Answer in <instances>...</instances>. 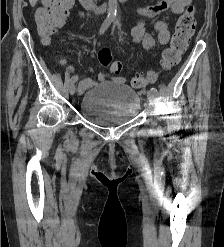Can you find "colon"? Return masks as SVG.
I'll list each match as a JSON object with an SVG mask.
<instances>
[{"label":"colon","mask_w":224,"mask_h":247,"mask_svg":"<svg viewBox=\"0 0 224 247\" xmlns=\"http://www.w3.org/2000/svg\"><path fill=\"white\" fill-rule=\"evenodd\" d=\"M43 3V7L38 8L35 12V21L39 34L48 38L63 25L74 0H43ZM194 15L195 6L190 5L179 17L170 45L162 54L161 65L163 68L169 69L176 65L188 48L196 27ZM98 60L103 67L109 68L112 75H120L122 64L113 60L110 49H100ZM147 82V76L137 75L133 78L132 85L139 88L146 85Z\"/></svg>","instance_id":"obj_1"}]
</instances>
